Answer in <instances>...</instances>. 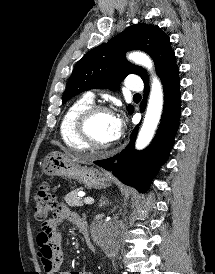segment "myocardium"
Listing matches in <instances>:
<instances>
[{
	"label": "myocardium",
	"mask_w": 215,
	"mask_h": 274,
	"mask_svg": "<svg viewBox=\"0 0 215 274\" xmlns=\"http://www.w3.org/2000/svg\"><path fill=\"white\" fill-rule=\"evenodd\" d=\"M99 113L112 114V110L104 105L92 104L86 108L78 117L76 122V131L80 140L87 146V148L94 150H105L112 147L116 139L110 143H98L93 138L90 131V124L93 118Z\"/></svg>",
	"instance_id": "obj_1"
}]
</instances>
